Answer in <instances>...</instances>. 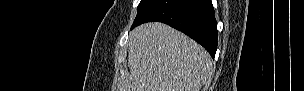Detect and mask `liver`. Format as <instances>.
<instances>
[{
  "instance_id": "liver-1",
  "label": "liver",
  "mask_w": 304,
  "mask_h": 91,
  "mask_svg": "<svg viewBox=\"0 0 304 91\" xmlns=\"http://www.w3.org/2000/svg\"><path fill=\"white\" fill-rule=\"evenodd\" d=\"M129 78L121 91H200L211 77L209 53L162 23H146L129 37Z\"/></svg>"
}]
</instances>
